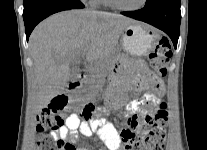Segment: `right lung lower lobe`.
<instances>
[{"label": "right lung lower lobe", "instance_id": "1", "mask_svg": "<svg viewBox=\"0 0 207 150\" xmlns=\"http://www.w3.org/2000/svg\"><path fill=\"white\" fill-rule=\"evenodd\" d=\"M84 8L80 0H29L24 3L23 19L28 40L34 27L46 17L63 10Z\"/></svg>", "mask_w": 207, "mask_h": 150}]
</instances>
